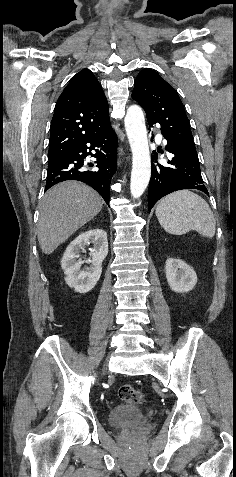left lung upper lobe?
<instances>
[{"mask_svg": "<svg viewBox=\"0 0 236 477\" xmlns=\"http://www.w3.org/2000/svg\"><path fill=\"white\" fill-rule=\"evenodd\" d=\"M132 98L145 110L149 124H160L167 144L198 156L180 97L157 72L148 68L139 72Z\"/></svg>", "mask_w": 236, "mask_h": 477, "instance_id": "1", "label": "left lung upper lobe"}]
</instances>
